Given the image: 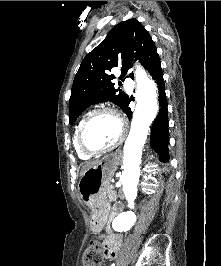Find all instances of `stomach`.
<instances>
[{
  "label": "stomach",
  "mask_w": 221,
  "mask_h": 266,
  "mask_svg": "<svg viewBox=\"0 0 221 266\" xmlns=\"http://www.w3.org/2000/svg\"><path fill=\"white\" fill-rule=\"evenodd\" d=\"M117 153L105 155L80 177L78 192L81 200L91 209V226L97 229L105 221L109 203L106 188L119 165Z\"/></svg>",
  "instance_id": "1"
}]
</instances>
